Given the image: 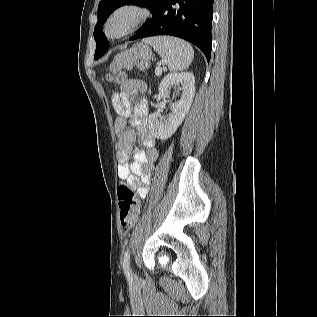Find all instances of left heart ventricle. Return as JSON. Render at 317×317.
Segmentation results:
<instances>
[{"label":"left heart ventricle","instance_id":"left-heart-ventricle-1","mask_svg":"<svg viewBox=\"0 0 317 317\" xmlns=\"http://www.w3.org/2000/svg\"><path fill=\"white\" fill-rule=\"evenodd\" d=\"M127 16H121L119 17L110 27V32L112 34L117 33L118 31H120L121 29L124 28V26L127 23Z\"/></svg>","mask_w":317,"mask_h":317}]
</instances>
